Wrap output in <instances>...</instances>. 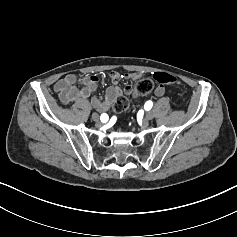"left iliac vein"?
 Here are the masks:
<instances>
[{"mask_svg": "<svg viewBox=\"0 0 237 237\" xmlns=\"http://www.w3.org/2000/svg\"><path fill=\"white\" fill-rule=\"evenodd\" d=\"M154 118V115H153V113L152 112H147L146 113V115H145V121H146V123L148 122V121H150V120H152Z\"/></svg>", "mask_w": 237, "mask_h": 237, "instance_id": "4c4485c4", "label": "left iliac vein"}]
</instances>
